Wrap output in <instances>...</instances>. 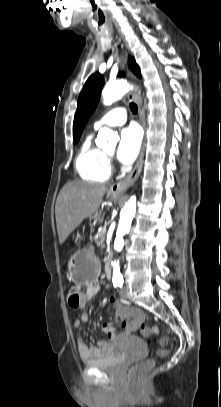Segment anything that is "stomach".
<instances>
[{"label": "stomach", "instance_id": "1", "mask_svg": "<svg viewBox=\"0 0 221 407\" xmlns=\"http://www.w3.org/2000/svg\"><path fill=\"white\" fill-rule=\"evenodd\" d=\"M113 198H116V194H111ZM100 213H95L92 217L94 219L99 218ZM80 234H77L76 241L80 240ZM69 271L72 280L77 284H89L92 283L99 271V261L94 251L89 248H83L75 252L68 262Z\"/></svg>", "mask_w": 221, "mask_h": 407}]
</instances>
